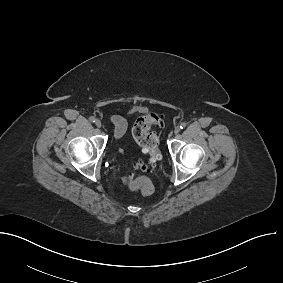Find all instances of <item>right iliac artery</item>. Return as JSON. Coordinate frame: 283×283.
<instances>
[{
  "label": "right iliac artery",
  "instance_id": "obj_1",
  "mask_svg": "<svg viewBox=\"0 0 283 283\" xmlns=\"http://www.w3.org/2000/svg\"><path fill=\"white\" fill-rule=\"evenodd\" d=\"M89 120H90L92 123L96 122V118L93 117V116H91V117L89 118Z\"/></svg>",
  "mask_w": 283,
  "mask_h": 283
}]
</instances>
